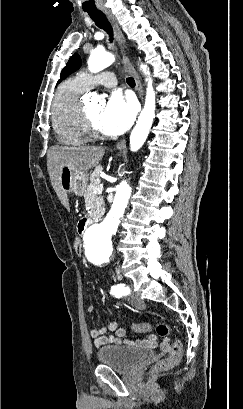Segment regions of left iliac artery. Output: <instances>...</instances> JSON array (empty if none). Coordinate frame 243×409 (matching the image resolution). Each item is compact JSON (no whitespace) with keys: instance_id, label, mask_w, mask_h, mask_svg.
Here are the masks:
<instances>
[{"instance_id":"1","label":"left iliac artery","mask_w":243,"mask_h":409,"mask_svg":"<svg viewBox=\"0 0 243 409\" xmlns=\"http://www.w3.org/2000/svg\"><path fill=\"white\" fill-rule=\"evenodd\" d=\"M129 293V289L124 287V284H117L111 288V294L120 298Z\"/></svg>"}]
</instances>
